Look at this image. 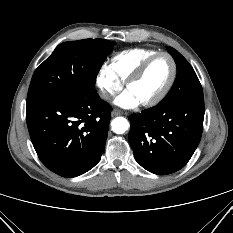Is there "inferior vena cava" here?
I'll use <instances>...</instances> for the list:
<instances>
[{"label": "inferior vena cava", "mask_w": 233, "mask_h": 233, "mask_svg": "<svg viewBox=\"0 0 233 233\" xmlns=\"http://www.w3.org/2000/svg\"><path fill=\"white\" fill-rule=\"evenodd\" d=\"M100 96L103 98V99H108L110 97V95L107 93V92H102L100 94Z\"/></svg>", "instance_id": "inferior-vena-cava-1"}]
</instances>
